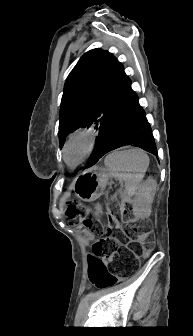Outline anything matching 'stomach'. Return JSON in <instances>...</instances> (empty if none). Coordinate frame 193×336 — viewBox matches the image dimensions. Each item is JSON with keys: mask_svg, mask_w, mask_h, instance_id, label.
<instances>
[{"mask_svg": "<svg viewBox=\"0 0 193 336\" xmlns=\"http://www.w3.org/2000/svg\"><path fill=\"white\" fill-rule=\"evenodd\" d=\"M108 177L105 169L92 168L85 170L75 179V194L85 202L96 200L103 193Z\"/></svg>", "mask_w": 193, "mask_h": 336, "instance_id": "stomach-1", "label": "stomach"}]
</instances>
